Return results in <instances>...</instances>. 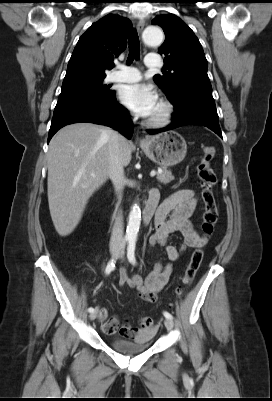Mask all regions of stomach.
Returning a JSON list of instances; mask_svg holds the SVG:
<instances>
[{
    "label": "stomach",
    "mask_w": 272,
    "mask_h": 401,
    "mask_svg": "<svg viewBox=\"0 0 272 401\" xmlns=\"http://www.w3.org/2000/svg\"><path fill=\"white\" fill-rule=\"evenodd\" d=\"M140 146L148 158L165 167L180 163L187 152L185 139L176 131L150 137Z\"/></svg>",
    "instance_id": "stomach-1"
}]
</instances>
